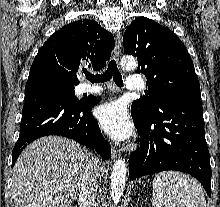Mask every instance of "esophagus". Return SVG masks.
<instances>
[{"mask_svg":"<svg viewBox=\"0 0 220 207\" xmlns=\"http://www.w3.org/2000/svg\"><path fill=\"white\" fill-rule=\"evenodd\" d=\"M121 36L120 34H116L115 36V48H114V57L115 58H119V55L121 53ZM120 157V153L119 151L115 148V147H112L111 149V158L113 160H116L117 158Z\"/></svg>","mask_w":220,"mask_h":207,"instance_id":"obj_1","label":"esophagus"}]
</instances>
